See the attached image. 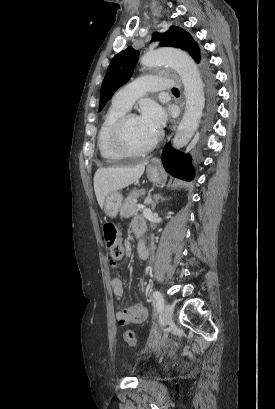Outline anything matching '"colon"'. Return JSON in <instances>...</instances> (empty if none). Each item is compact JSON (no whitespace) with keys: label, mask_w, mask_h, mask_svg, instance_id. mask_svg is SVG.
I'll use <instances>...</instances> for the list:
<instances>
[{"label":"colon","mask_w":275,"mask_h":409,"mask_svg":"<svg viewBox=\"0 0 275 409\" xmlns=\"http://www.w3.org/2000/svg\"><path fill=\"white\" fill-rule=\"evenodd\" d=\"M102 231L106 246L110 251V257H113L115 261L119 258L123 259L124 247L121 242V227L113 222H105ZM124 339L131 347H136L138 345V341L132 330H126L124 332Z\"/></svg>","instance_id":"obj_1"}]
</instances>
